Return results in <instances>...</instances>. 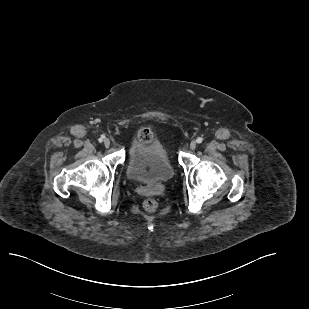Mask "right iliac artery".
<instances>
[{"label": "right iliac artery", "instance_id": "1", "mask_svg": "<svg viewBox=\"0 0 309 309\" xmlns=\"http://www.w3.org/2000/svg\"><path fill=\"white\" fill-rule=\"evenodd\" d=\"M104 138H105V136L102 135V136L98 139V141H99V142H102Z\"/></svg>", "mask_w": 309, "mask_h": 309}]
</instances>
